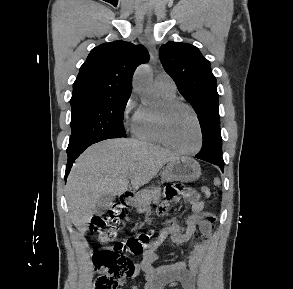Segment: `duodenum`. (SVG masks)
Wrapping results in <instances>:
<instances>
[{
	"label": "duodenum",
	"mask_w": 293,
	"mask_h": 289,
	"mask_svg": "<svg viewBox=\"0 0 293 289\" xmlns=\"http://www.w3.org/2000/svg\"><path fill=\"white\" fill-rule=\"evenodd\" d=\"M133 196H134V194L132 192L123 193L120 197L121 204L125 207L130 206V204L133 200Z\"/></svg>",
	"instance_id": "duodenum-1"
}]
</instances>
